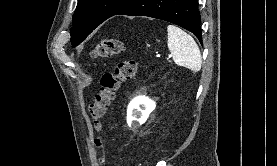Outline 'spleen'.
Masks as SVG:
<instances>
[{
    "label": "spleen",
    "mask_w": 277,
    "mask_h": 166,
    "mask_svg": "<svg viewBox=\"0 0 277 166\" xmlns=\"http://www.w3.org/2000/svg\"><path fill=\"white\" fill-rule=\"evenodd\" d=\"M167 32V45L175 64L186 67L193 72H198L201 69L202 57L195 40L174 25H169Z\"/></svg>",
    "instance_id": "obj_1"
}]
</instances>
